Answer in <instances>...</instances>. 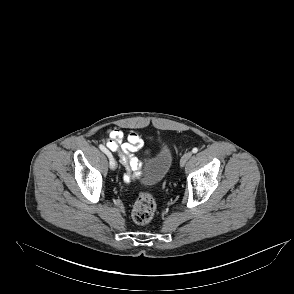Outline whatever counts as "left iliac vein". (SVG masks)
I'll return each mask as SVG.
<instances>
[{"mask_svg":"<svg viewBox=\"0 0 294 294\" xmlns=\"http://www.w3.org/2000/svg\"><path fill=\"white\" fill-rule=\"evenodd\" d=\"M191 157H192V152H186L180 160V166L183 167Z\"/></svg>","mask_w":294,"mask_h":294,"instance_id":"4c4485c4","label":"left iliac vein"}]
</instances>
